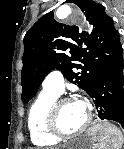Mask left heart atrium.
<instances>
[{"label":"left heart atrium","instance_id":"left-heart-atrium-1","mask_svg":"<svg viewBox=\"0 0 124 149\" xmlns=\"http://www.w3.org/2000/svg\"><path fill=\"white\" fill-rule=\"evenodd\" d=\"M76 102L79 103L80 105L86 107V104L82 99H77Z\"/></svg>","mask_w":124,"mask_h":149}]
</instances>
